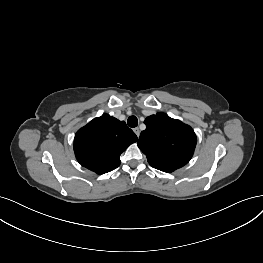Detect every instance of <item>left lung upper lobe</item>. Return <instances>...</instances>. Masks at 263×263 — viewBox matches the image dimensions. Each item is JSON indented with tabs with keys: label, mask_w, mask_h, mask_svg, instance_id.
Instances as JSON below:
<instances>
[{
	"label": "left lung upper lobe",
	"mask_w": 263,
	"mask_h": 263,
	"mask_svg": "<svg viewBox=\"0 0 263 263\" xmlns=\"http://www.w3.org/2000/svg\"><path fill=\"white\" fill-rule=\"evenodd\" d=\"M144 123L138 146L152 167L173 172L190 161L197 143L190 126L165 113L151 115Z\"/></svg>",
	"instance_id": "1"
}]
</instances>
